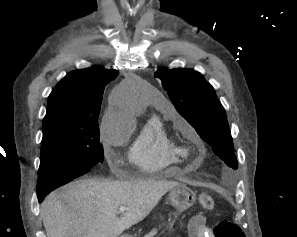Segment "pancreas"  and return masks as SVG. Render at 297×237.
Here are the masks:
<instances>
[{"instance_id": "obj_1", "label": "pancreas", "mask_w": 297, "mask_h": 237, "mask_svg": "<svg viewBox=\"0 0 297 237\" xmlns=\"http://www.w3.org/2000/svg\"><path fill=\"white\" fill-rule=\"evenodd\" d=\"M157 234V229H153L151 232L146 234L144 237H153Z\"/></svg>"}]
</instances>
